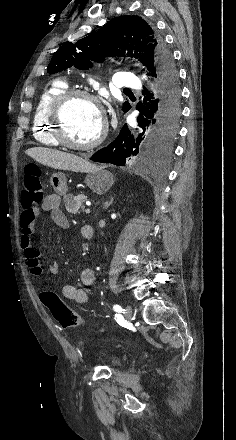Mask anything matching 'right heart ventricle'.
Instances as JSON below:
<instances>
[{
  "instance_id": "e07e8e85",
  "label": "right heart ventricle",
  "mask_w": 236,
  "mask_h": 440,
  "mask_svg": "<svg viewBox=\"0 0 236 440\" xmlns=\"http://www.w3.org/2000/svg\"><path fill=\"white\" fill-rule=\"evenodd\" d=\"M67 88L68 84L65 79L56 78L50 81L39 95L33 113V136L41 145L50 147L60 146L52 134L47 115L52 100Z\"/></svg>"
}]
</instances>
